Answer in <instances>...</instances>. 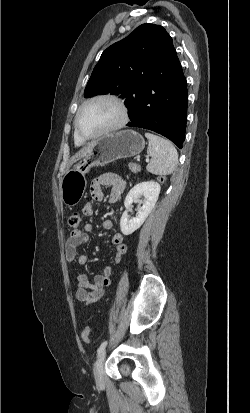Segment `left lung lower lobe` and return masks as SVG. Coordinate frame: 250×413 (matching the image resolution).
Returning <instances> with one entry per match:
<instances>
[{"instance_id":"1","label":"left lung lower lobe","mask_w":250,"mask_h":413,"mask_svg":"<svg viewBox=\"0 0 250 413\" xmlns=\"http://www.w3.org/2000/svg\"><path fill=\"white\" fill-rule=\"evenodd\" d=\"M187 99V82L173 47L162 73L144 80L137 98L127 107L131 120L127 125L152 130L182 148Z\"/></svg>"}]
</instances>
